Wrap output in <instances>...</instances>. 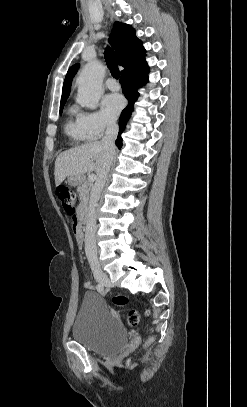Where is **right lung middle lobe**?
<instances>
[{"instance_id": "1", "label": "right lung middle lobe", "mask_w": 247, "mask_h": 407, "mask_svg": "<svg viewBox=\"0 0 247 407\" xmlns=\"http://www.w3.org/2000/svg\"><path fill=\"white\" fill-rule=\"evenodd\" d=\"M65 102H66V101H63V102H61V104H60V114L62 113V110H63V107H64Z\"/></svg>"}]
</instances>
